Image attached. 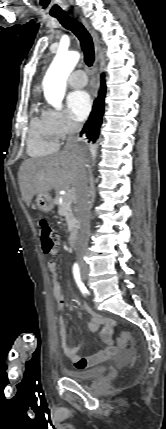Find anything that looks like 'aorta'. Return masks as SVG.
Wrapping results in <instances>:
<instances>
[{
    "label": "aorta",
    "mask_w": 166,
    "mask_h": 429,
    "mask_svg": "<svg viewBox=\"0 0 166 429\" xmlns=\"http://www.w3.org/2000/svg\"><path fill=\"white\" fill-rule=\"evenodd\" d=\"M80 54L76 51L58 52L43 80L47 102L59 109L66 90V80L78 63Z\"/></svg>",
    "instance_id": "1"
}]
</instances>
